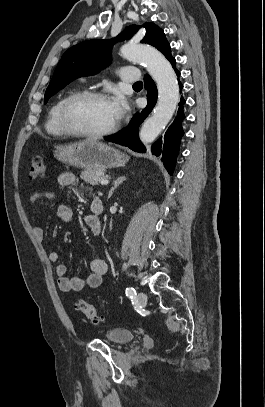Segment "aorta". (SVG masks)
<instances>
[{
	"label": "aorta",
	"instance_id": "762f6f07",
	"mask_svg": "<svg viewBox=\"0 0 265 407\" xmlns=\"http://www.w3.org/2000/svg\"><path fill=\"white\" fill-rule=\"evenodd\" d=\"M121 55L132 62L145 64L158 88V102L153 114L140 130V140L144 143L153 142L171 120L180 100L176 74L169 61L157 50L128 43L121 47Z\"/></svg>",
	"mask_w": 265,
	"mask_h": 407
}]
</instances>
